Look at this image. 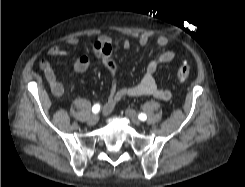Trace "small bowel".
I'll use <instances>...</instances> for the list:
<instances>
[{
	"label": "small bowel",
	"mask_w": 245,
	"mask_h": 187,
	"mask_svg": "<svg viewBox=\"0 0 245 187\" xmlns=\"http://www.w3.org/2000/svg\"><path fill=\"white\" fill-rule=\"evenodd\" d=\"M149 36L142 34L138 38V42L141 46H145L149 43ZM168 38L166 36H159L156 39V44L163 48L168 45ZM78 43L77 39H70L67 41L68 45H76ZM130 41L124 39L122 41V47L124 49L130 48ZM62 50L60 45L52 46L47 55L49 57H57L61 54ZM92 52L96 57H99L103 63L106 65L112 76V85L110 95L107 101L103 105V111L105 113L110 112L118 100L123 96H152L156 99L163 101H169L172 98V92L169 89L160 87L154 78V75L161 64L168 63L177 57V52L175 50H165L160 53L156 58L151 60L145 70V74L142 79L134 85L131 86H118V66L114 59L112 58L113 52V40L111 37H101L96 40L92 45ZM90 66V58L86 55L79 57L72 65L70 73V83L73 85L75 83L77 75L85 72ZM40 70L42 71L47 83L50 86L52 93L56 96H60L64 93L63 85L57 80L54 69L47 59H42L39 63Z\"/></svg>",
	"instance_id": "obj_1"
}]
</instances>
